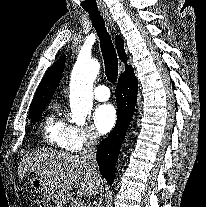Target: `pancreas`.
Masks as SVG:
<instances>
[{"label": "pancreas", "mask_w": 206, "mask_h": 207, "mask_svg": "<svg viewBox=\"0 0 206 207\" xmlns=\"http://www.w3.org/2000/svg\"><path fill=\"white\" fill-rule=\"evenodd\" d=\"M69 207H87V206H84V202L82 200L72 199V202L70 203Z\"/></svg>", "instance_id": "cf45deb5"}]
</instances>
